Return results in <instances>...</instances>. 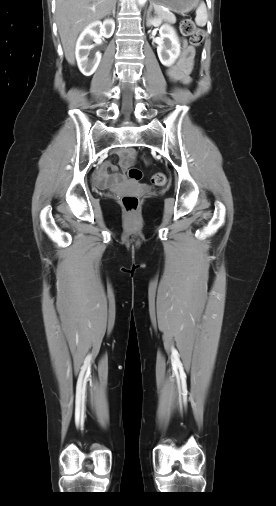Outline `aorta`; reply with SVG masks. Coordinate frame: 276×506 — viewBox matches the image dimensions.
Wrapping results in <instances>:
<instances>
[{"label": "aorta", "mask_w": 276, "mask_h": 506, "mask_svg": "<svg viewBox=\"0 0 276 506\" xmlns=\"http://www.w3.org/2000/svg\"><path fill=\"white\" fill-rule=\"evenodd\" d=\"M146 0H138L139 5H144Z\"/></svg>", "instance_id": "762f6f07"}]
</instances>
